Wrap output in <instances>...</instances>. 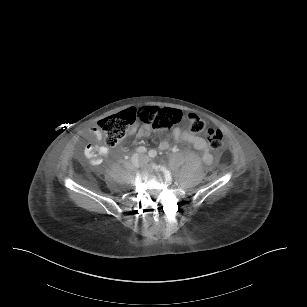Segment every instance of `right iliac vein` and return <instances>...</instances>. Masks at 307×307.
<instances>
[{"mask_svg": "<svg viewBox=\"0 0 307 307\" xmlns=\"http://www.w3.org/2000/svg\"><path fill=\"white\" fill-rule=\"evenodd\" d=\"M132 162L134 164V166H139L140 165V159L138 156H136L135 158L132 157Z\"/></svg>", "mask_w": 307, "mask_h": 307, "instance_id": "right-iliac-vein-1", "label": "right iliac vein"}]
</instances>
